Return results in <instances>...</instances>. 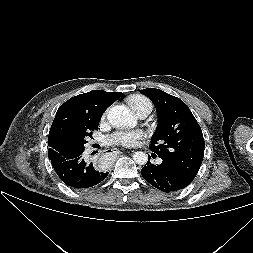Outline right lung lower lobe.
Wrapping results in <instances>:
<instances>
[{
  "label": "right lung lower lobe",
  "instance_id": "1",
  "mask_svg": "<svg viewBox=\"0 0 253 253\" xmlns=\"http://www.w3.org/2000/svg\"><path fill=\"white\" fill-rule=\"evenodd\" d=\"M84 149H70L65 153L48 154L51 164L59 178L68 186L76 189L92 187L102 182L109 173L100 172L93 163L82 157Z\"/></svg>",
  "mask_w": 253,
  "mask_h": 253
}]
</instances>
